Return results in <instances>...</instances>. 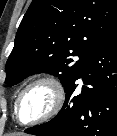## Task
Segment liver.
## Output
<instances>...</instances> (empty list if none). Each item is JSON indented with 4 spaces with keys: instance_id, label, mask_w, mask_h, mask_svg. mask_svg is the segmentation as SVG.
Listing matches in <instances>:
<instances>
[{
    "instance_id": "liver-1",
    "label": "liver",
    "mask_w": 117,
    "mask_h": 136,
    "mask_svg": "<svg viewBox=\"0 0 117 136\" xmlns=\"http://www.w3.org/2000/svg\"><path fill=\"white\" fill-rule=\"evenodd\" d=\"M11 136H24V135L21 134V133H18V134H13V135H11Z\"/></svg>"
}]
</instances>
